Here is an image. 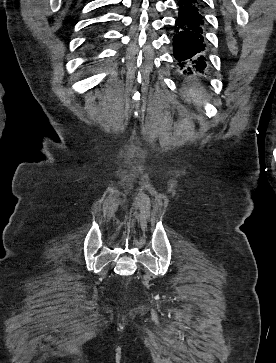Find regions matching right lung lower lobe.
I'll use <instances>...</instances> for the list:
<instances>
[{
    "mask_svg": "<svg viewBox=\"0 0 276 363\" xmlns=\"http://www.w3.org/2000/svg\"><path fill=\"white\" fill-rule=\"evenodd\" d=\"M99 35V33L98 32H95L94 34H92L91 36H90V40H89V43H91V44H95L97 41H98V38H97V36Z\"/></svg>",
    "mask_w": 276,
    "mask_h": 363,
    "instance_id": "obj_1",
    "label": "right lung lower lobe"
}]
</instances>
